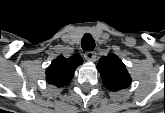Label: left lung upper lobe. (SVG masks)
<instances>
[{
    "mask_svg": "<svg viewBox=\"0 0 165 113\" xmlns=\"http://www.w3.org/2000/svg\"><path fill=\"white\" fill-rule=\"evenodd\" d=\"M106 58L108 57H103L100 61ZM101 76L103 78V83L106 84L111 90L127 86L126 79L129 77L125 69V65L119 58H117V61L113 59V63L110 64V66L106 65V67H104L101 71ZM124 81L126 82L125 84Z\"/></svg>",
    "mask_w": 165,
    "mask_h": 113,
    "instance_id": "left-lung-upper-lobe-1",
    "label": "left lung upper lobe"
}]
</instances>
